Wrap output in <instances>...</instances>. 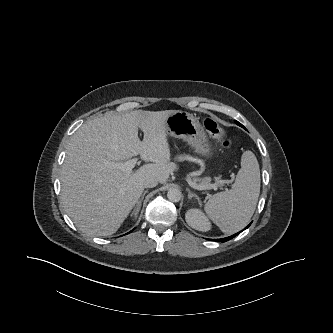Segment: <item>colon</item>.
Listing matches in <instances>:
<instances>
[{
  "label": "colon",
  "mask_w": 333,
  "mask_h": 333,
  "mask_svg": "<svg viewBox=\"0 0 333 333\" xmlns=\"http://www.w3.org/2000/svg\"><path fill=\"white\" fill-rule=\"evenodd\" d=\"M205 129L208 131L210 135L219 139L221 141V146L223 148H229L230 140L224 137V132L222 128L217 124V122L211 118H207L204 121Z\"/></svg>",
  "instance_id": "1"
}]
</instances>
